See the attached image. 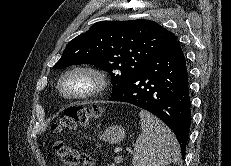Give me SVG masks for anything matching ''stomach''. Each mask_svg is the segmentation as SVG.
Returning a JSON list of instances; mask_svg holds the SVG:
<instances>
[{"label":"stomach","instance_id":"stomach-1","mask_svg":"<svg viewBox=\"0 0 231 166\" xmlns=\"http://www.w3.org/2000/svg\"><path fill=\"white\" fill-rule=\"evenodd\" d=\"M100 138L111 144H117L125 138V130L122 126L113 125L106 128L100 135Z\"/></svg>","mask_w":231,"mask_h":166}]
</instances>
